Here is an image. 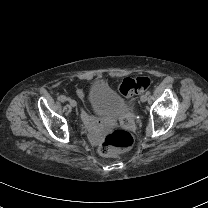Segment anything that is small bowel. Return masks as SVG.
Returning a JSON list of instances; mask_svg holds the SVG:
<instances>
[{"instance_id":"1","label":"small bowel","mask_w":208,"mask_h":208,"mask_svg":"<svg viewBox=\"0 0 208 208\" xmlns=\"http://www.w3.org/2000/svg\"><path fill=\"white\" fill-rule=\"evenodd\" d=\"M61 91L65 93L67 97H72L74 94L80 100V120L83 122L88 134L93 139H98L101 136V132L107 130L112 123V118L110 116H105L103 120L95 127L92 119L89 117V95L82 90L81 84L75 80H66L62 83ZM63 114L65 116H70L72 114V109L70 107H65L63 109Z\"/></svg>"}]
</instances>
